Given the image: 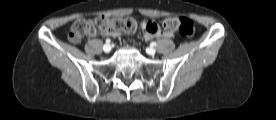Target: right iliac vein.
<instances>
[{"mask_svg":"<svg viewBox=\"0 0 276 120\" xmlns=\"http://www.w3.org/2000/svg\"><path fill=\"white\" fill-rule=\"evenodd\" d=\"M103 50H104V52L109 53V52L111 51V46H110V44H105V45L103 46Z\"/></svg>","mask_w":276,"mask_h":120,"instance_id":"obj_1","label":"right iliac vein"}]
</instances>
